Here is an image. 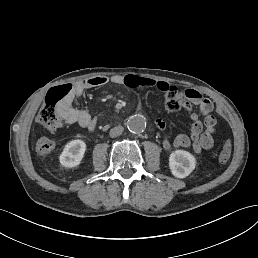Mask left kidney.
Returning a JSON list of instances; mask_svg holds the SVG:
<instances>
[{
  "label": "left kidney",
  "instance_id": "5707ae66",
  "mask_svg": "<svg viewBox=\"0 0 258 258\" xmlns=\"http://www.w3.org/2000/svg\"><path fill=\"white\" fill-rule=\"evenodd\" d=\"M196 166L195 157L184 150H176L170 154L169 167L177 178L187 177Z\"/></svg>",
  "mask_w": 258,
  "mask_h": 258
}]
</instances>
